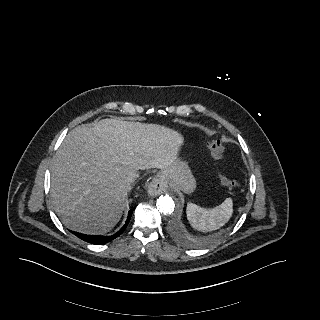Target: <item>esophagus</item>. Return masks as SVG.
Wrapping results in <instances>:
<instances>
[{
  "instance_id": "34e87169",
  "label": "esophagus",
  "mask_w": 320,
  "mask_h": 320,
  "mask_svg": "<svg viewBox=\"0 0 320 320\" xmlns=\"http://www.w3.org/2000/svg\"><path fill=\"white\" fill-rule=\"evenodd\" d=\"M167 189V182L163 175H156L148 186V194L150 196H157L165 192Z\"/></svg>"
}]
</instances>
